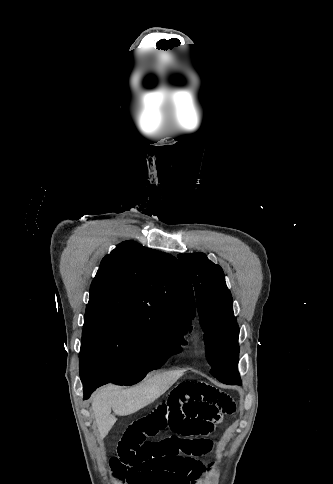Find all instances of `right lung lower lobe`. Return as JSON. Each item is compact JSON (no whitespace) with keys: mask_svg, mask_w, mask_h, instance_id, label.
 Listing matches in <instances>:
<instances>
[{"mask_svg":"<svg viewBox=\"0 0 333 484\" xmlns=\"http://www.w3.org/2000/svg\"><path fill=\"white\" fill-rule=\"evenodd\" d=\"M109 382V379H88L86 381H82L83 383V390L85 398H88L90 394L99 386L106 384Z\"/></svg>","mask_w":333,"mask_h":484,"instance_id":"right-lung-lower-lobe-1","label":"right lung lower lobe"}]
</instances>
